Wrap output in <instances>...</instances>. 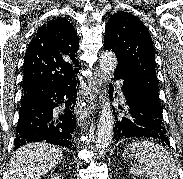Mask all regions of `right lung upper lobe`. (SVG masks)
<instances>
[{
  "instance_id": "right-lung-upper-lobe-1",
  "label": "right lung upper lobe",
  "mask_w": 183,
  "mask_h": 179,
  "mask_svg": "<svg viewBox=\"0 0 183 179\" xmlns=\"http://www.w3.org/2000/svg\"><path fill=\"white\" fill-rule=\"evenodd\" d=\"M79 38L72 24L56 18L42 25L25 54L23 90L40 84H66L76 80L81 64L76 59Z\"/></svg>"
}]
</instances>
